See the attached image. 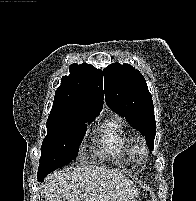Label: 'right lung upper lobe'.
I'll use <instances>...</instances> for the list:
<instances>
[{
    "mask_svg": "<svg viewBox=\"0 0 196 201\" xmlns=\"http://www.w3.org/2000/svg\"><path fill=\"white\" fill-rule=\"evenodd\" d=\"M70 75L62 77L57 88L51 117L69 112L98 116L103 107V72L94 66L72 64Z\"/></svg>",
    "mask_w": 196,
    "mask_h": 201,
    "instance_id": "obj_1",
    "label": "right lung upper lobe"
}]
</instances>
